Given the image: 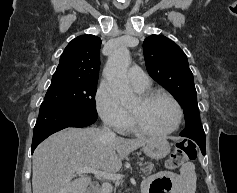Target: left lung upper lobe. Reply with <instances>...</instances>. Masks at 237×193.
<instances>
[{"mask_svg": "<svg viewBox=\"0 0 237 193\" xmlns=\"http://www.w3.org/2000/svg\"><path fill=\"white\" fill-rule=\"evenodd\" d=\"M147 71L166 88L184 109L186 127L180 136L205 146V133L200 121L197 93L187 56L165 36L151 35L143 42Z\"/></svg>", "mask_w": 237, "mask_h": 193, "instance_id": "5c2ea615", "label": "left lung upper lobe"}]
</instances>
